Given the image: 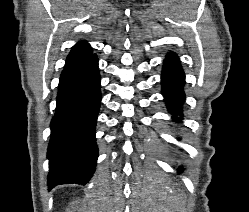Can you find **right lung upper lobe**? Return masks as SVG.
Wrapping results in <instances>:
<instances>
[{
    "mask_svg": "<svg viewBox=\"0 0 249 212\" xmlns=\"http://www.w3.org/2000/svg\"><path fill=\"white\" fill-rule=\"evenodd\" d=\"M91 55H93L91 47L85 41H80L69 53L66 59L65 67L79 63L89 58Z\"/></svg>",
    "mask_w": 249,
    "mask_h": 212,
    "instance_id": "cb5924a9",
    "label": "right lung upper lobe"
}]
</instances>
